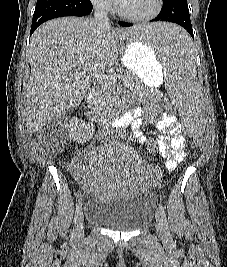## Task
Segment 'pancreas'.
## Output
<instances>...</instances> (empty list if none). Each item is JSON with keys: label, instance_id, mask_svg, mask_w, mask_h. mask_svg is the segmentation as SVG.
Here are the masks:
<instances>
[{"label": "pancreas", "instance_id": "1", "mask_svg": "<svg viewBox=\"0 0 227 267\" xmlns=\"http://www.w3.org/2000/svg\"><path fill=\"white\" fill-rule=\"evenodd\" d=\"M118 76L119 78L121 77L125 85L131 90L138 91L144 88L143 84H141V82L131 74ZM113 82L114 81H111L107 84L101 83L100 87L98 88L94 102V105L97 109H109L116 101V92Z\"/></svg>", "mask_w": 227, "mask_h": 267}]
</instances>
